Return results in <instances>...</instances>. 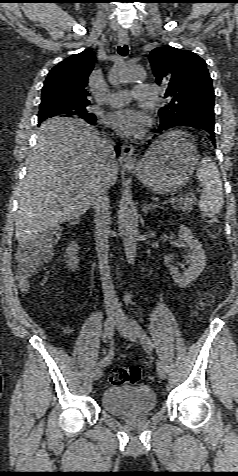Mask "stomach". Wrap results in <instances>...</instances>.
<instances>
[{"mask_svg":"<svg viewBox=\"0 0 238 476\" xmlns=\"http://www.w3.org/2000/svg\"><path fill=\"white\" fill-rule=\"evenodd\" d=\"M198 162V153L183 132L174 130L154 141L133 172L149 189L170 194L186 184Z\"/></svg>","mask_w":238,"mask_h":476,"instance_id":"obj_1","label":"stomach"}]
</instances>
